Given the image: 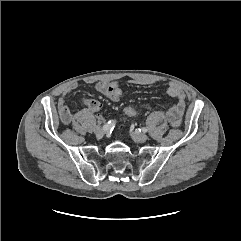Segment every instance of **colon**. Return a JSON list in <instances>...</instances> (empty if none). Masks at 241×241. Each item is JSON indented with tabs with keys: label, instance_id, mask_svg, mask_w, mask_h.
<instances>
[{
	"label": "colon",
	"instance_id": "obj_1",
	"mask_svg": "<svg viewBox=\"0 0 241 241\" xmlns=\"http://www.w3.org/2000/svg\"><path fill=\"white\" fill-rule=\"evenodd\" d=\"M137 114V108L135 106H127L123 111V116L126 119L132 118Z\"/></svg>",
	"mask_w": 241,
	"mask_h": 241
}]
</instances>
